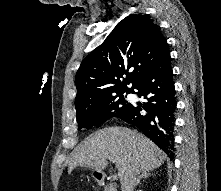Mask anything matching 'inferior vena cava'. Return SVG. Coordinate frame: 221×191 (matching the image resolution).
<instances>
[{
	"label": "inferior vena cava",
	"instance_id": "602c4592",
	"mask_svg": "<svg viewBox=\"0 0 221 191\" xmlns=\"http://www.w3.org/2000/svg\"><path fill=\"white\" fill-rule=\"evenodd\" d=\"M136 176H137L136 174H132L129 176L125 184L121 186L122 191H132L135 180H136Z\"/></svg>",
	"mask_w": 221,
	"mask_h": 191
}]
</instances>
